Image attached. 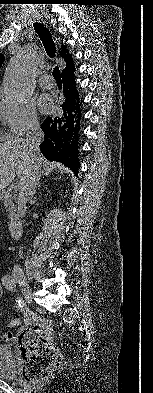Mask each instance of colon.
I'll list each match as a JSON object with an SVG mask.
<instances>
[{
    "label": "colon",
    "instance_id": "obj_1",
    "mask_svg": "<svg viewBox=\"0 0 153 393\" xmlns=\"http://www.w3.org/2000/svg\"><path fill=\"white\" fill-rule=\"evenodd\" d=\"M20 320H13L14 326ZM52 327L48 320L35 323L24 328L19 334V346L22 354V378L29 383H39L45 380L61 365L59 350L51 344Z\"/></svg>",
    "mask_w": 153,
    "mask_h": 393
}]
</instances>
